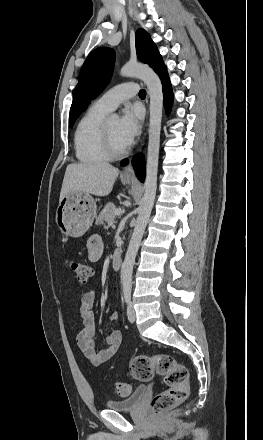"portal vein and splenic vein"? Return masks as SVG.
Listing matches in <instances>:
<instances>
[{"label": "portal vein and splenic vein", "mask_w": 263, "mask_h": 440, "mask_svg": "<svg viewBox=\"0 0 263 440\" xmlns=\"http://www.w3.org/2000/svg\"><path fill=\"white\" fill-rule=\"evenodd\" d=\"M115 214H116V215H120V214H121V210H119V209L116 210V211H115Z\"/></svg>", "instance_id": "portal-vein-and-splenic-vein-1"}]
</instances>
